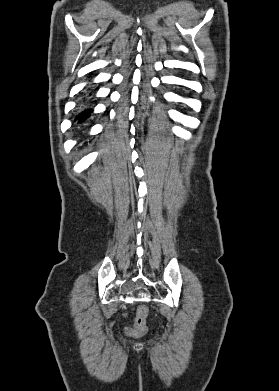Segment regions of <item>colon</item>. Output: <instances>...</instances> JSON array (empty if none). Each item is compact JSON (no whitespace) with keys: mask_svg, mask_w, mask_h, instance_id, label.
<instances>
[{"mask_svg":"<svg viewBox=\"0 0 279 391\" xmlns=\"http://www.w3.org/2000/svg\"><path fill=\"white\" fill-rule=\"evenodd\" d=\"M148 307L142 305L138 308L137 314L135 317V323L133 328H126L125 333L127 335H142L147 330V317H148Z\"/></svg>","mask_w":279,"mask_h":391,"instance_id":"obj_1","label":"colon"}]
</instances>
